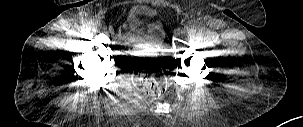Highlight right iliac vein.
<instances>
[{"label": "right iliac vein", "instance_id": "obj_1", "mask_svg": "<svg viewBox=\"0 0 303 127\" xmlns=\"http://www.w3.org/2000/svg\"><path fill=\"white\" fill-rule=\"evenodd\" d=\"M97 26H98L99 28H104V24H103L102 22H98Z\"/></svg>", "mask_w": 303, "mask_h": 127}]
</instances>
